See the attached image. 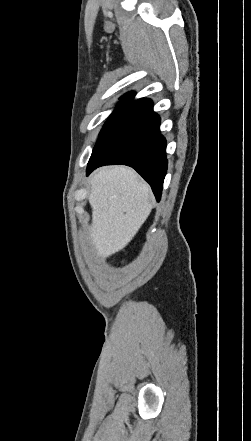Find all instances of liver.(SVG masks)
Instances as JSON below:
<instances>
[{"label": "liver", "instance_id": "6515ba94", "mask_svg": "<svg viewBox=\"0 0 251 441\" xmlns=\"http://www.w3.org/2000/svg\"><path fill=\"white\" fill-rule=\"evenodd\" d=\"M90 238L103 260L125 248L148 218L151 190L129 167L109 166L90 177Z\"/></svg>", "mask_w": 251, "mask_h": 441}]
</instances>
